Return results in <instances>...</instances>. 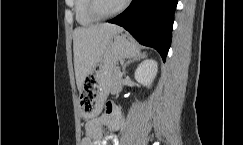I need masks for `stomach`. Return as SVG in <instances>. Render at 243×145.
Listing matches in <instances>:
<instances>
[{
	"instance_id": "1",
	"label": "stomach",
	"mask_w": 243,
	"mask_h": 145,
	"mask_svg": "<svg viewBox=\"0 0 243 145\" xmlns=\"http://www.w3.org/2000/svg\"><path fill=\"white\" fill-rule=\"evenodd\" d=\"M140 56L137 44L126 34H115L100 61L82 83L83 89L78 97L80 112L86 118L98 116L101 106L112 83V72L120 60ZM87 89H86V88Z\"/></svg>"
}]
</instances>
